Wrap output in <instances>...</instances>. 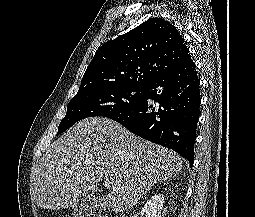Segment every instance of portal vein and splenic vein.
<instances>
[{
  "instance_id": "1",
  "label": "portal vein and splenic vein",
  "mask_w": 255,
  "mask_h": 217,
  "mask_svg": "<svg viewBox=\"0 0 255 217\" xmlns=\"http://www.w3.org/2000/svg\"><path fill=\"white\" fill-rule=\"evenodd\" d=\"M105 186H106L107 188H110V187H111V183H110L109 180H105ZM113 190H115V188H113Z\"/></svg>"
}]
</instances>
